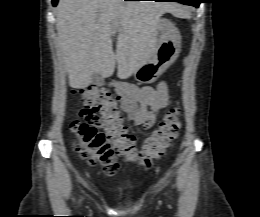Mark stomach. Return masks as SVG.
Wrapping results in <instances>:
<instances>
[{
  "label": "stomach",
  "mask_w": 260,
  "mask_h": 217,
  "mask_svg": "<svg viewBox=\"0 0 260 217\" xmlns=\"http://www.w3.org/2000/svg\"><path fill=\"white\" fill-rule=\"evenodd\" d=\"M157 31L159 42L154 56L134 72L139 83H152L168 68L180 53V38L177 30L167 19H160Z\"/></svg>",
  "instance_id": "1"
}]
</instances>
